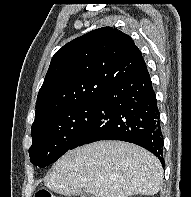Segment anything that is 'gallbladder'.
<instances>
[{
	"label": "gallbladder",
	"mask_w": 191,
	"mask_h": 197,
	"mask_svg": "<svg viewBox=\"0 0 191 197\" xmlns=\"http://www.w3.org/2000/svg\"><path fill=\"white\" fill-rule=\"evenodd\" d=\"M80 197H95L92 193H89L87 191H82L81 193H79Z\"/></svg>",
	"instance_id": "gallbladder-1"
}]
</instances>
